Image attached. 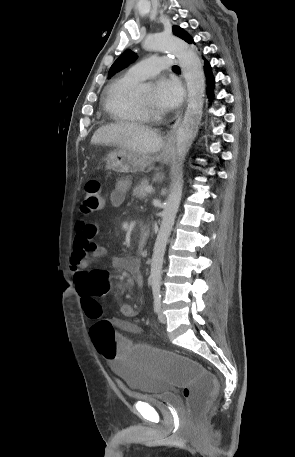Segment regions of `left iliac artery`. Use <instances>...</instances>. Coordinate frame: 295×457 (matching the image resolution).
<instances>
[{
	"label": "left iliac artery",
	"mask_w": 295,
	"mask_h": 457,
	"mask_svg": "<svg viewBox=\"0 0 295 457\" xmlns=\"http://www.w3.org/2000/svg\"><path fill=\"white\" fill-rule=\"evenodd\" d=\"M161 308V295L159 293L154 294V311L157 313Z\"/></svg>",
	"instance_id": "44dca946"
}]
</instances>
